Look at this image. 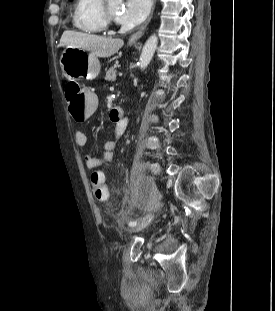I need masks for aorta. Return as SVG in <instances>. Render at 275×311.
I'll use <instances>...</instances> for the list:
<instances>
[{
    "label": "aorta",
    "mask_w": 275,
    "mask_h": 311,
    "mask_svg": "<svg viewBox=\"0 0 275 311\" xmlns=\"http://www.w3.org/2000/svg\"><path fill=\"white\" fill-rule=\"evenodd\" d=\"M117 1L121 2L122 0H117ZM157 44H158V38L156 34L151 35L146 41L143 47V50L140 56V62H139V66L142 70H144L150 63L154 55V52L157 48Z\"/></svg>",
    "instance_id": "aorta-1"
}]
</instances>
